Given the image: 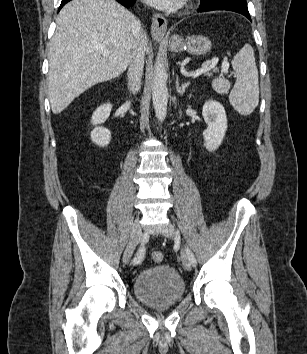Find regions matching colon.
<instances>
[{"label": "colon", "mask_w": 307, "mask_h": 354, "mask_svg": "<svg viewBox=\"0 0 307 354\" xmlns=\"http://www.w3.org/2000/svg\"><path fill=\"white\" fill-rule=\"evenodd\" d=\"M152 260L156 263H160L163 260V255L160 252H153L152 253Z\"/></svg>", "instance_id": "1"}]
</instances>
